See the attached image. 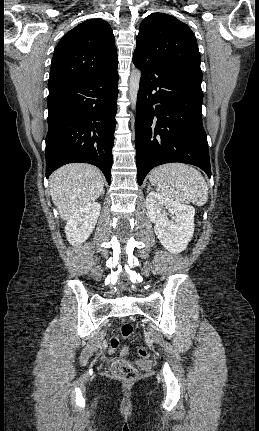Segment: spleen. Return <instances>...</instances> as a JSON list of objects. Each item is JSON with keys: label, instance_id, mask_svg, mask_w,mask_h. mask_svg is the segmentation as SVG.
Here are the masks:
<instances>
[{"label": "spleen", "instance_id": "1", "mask_svg": "<svg viewBox=\"0 0 259 431\" xmlns=\"http://www.w3.org/2000/svg\"><path fill=\"white\" fill-rule=\"evenodd\" d=\"M163 196L181 203L202 206L208 200V187L202 174L183 163H168L154 168L149 176Z\"/></svg>", "mask_w": 259, "mask_h": 431}]
</instances>
